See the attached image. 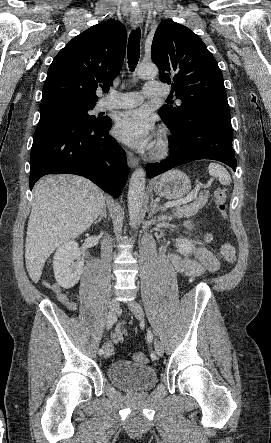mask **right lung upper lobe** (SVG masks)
I'll use <instances>...</instances> for the list:
<instances>
[{
	"mask_svg": "<svg viewBox=\"0 0 271 443\" xmlns=\"http://www.w3.org/2000/svg\"><path fill=\"white\" fill-rule=\"evenodd\" d=\"M126 39L125 26L113 20L74 37L53 59L41 103L58 99L95 103L98 87L109 89L120 72Z\"/></svg>",
	"mask_w": 271,
	"mask_h": 443,
	"instance_id": "obj_1",
	"label": "right lung upper lobe"
}]
</instances>
